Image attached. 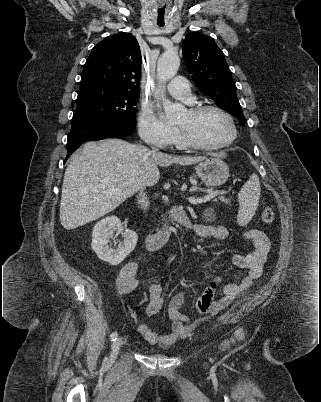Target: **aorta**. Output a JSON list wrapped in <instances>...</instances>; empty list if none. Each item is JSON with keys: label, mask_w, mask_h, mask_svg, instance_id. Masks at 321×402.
I'll list each match as a JSON object with an SVG mask.
<instances>
[{"label": "aorta", "mask_w": 321, "mask_h": 402, "mask_svg": "<svg viewBox=\"0 0 321 402\" xmlns=\"http://www.w3.org/2000/svg\"><path fill=\"white\" fill-rule=\"evenodd\" d=\"M180 65V58L177 52L170 50L164 52L158 59L157 62V79L159 89L157 94L162 101L163 109H164V119H172L175 118L178 113L183 109L182 105L173 103L168 100L164 93L165 84L171 78H173Z\"/></svg>", "instance_id": "1"}]
</instances>
